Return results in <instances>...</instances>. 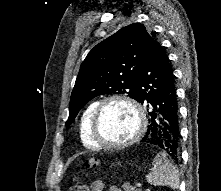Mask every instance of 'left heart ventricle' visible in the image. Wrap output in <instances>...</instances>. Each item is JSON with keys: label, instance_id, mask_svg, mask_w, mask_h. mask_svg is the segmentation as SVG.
Instances as JSON below:
<instances>
[{"label": "left heart ventricle", "instance_id": "b2bd125f", "mask_svg": "<svg viewBox=\"0 0 221 191\" xmlns=\"http://www.w3.org/2000/svg\"><path fill=\"white\" fill-rule=\"evenodd\" d=\"M137 117L134 110L119 101L106 105L100 120V130L104 140L120 143L128 140L136 131Z\"/></svg>", "mask_w": 221, "mask_h": 191}]
</instances>
